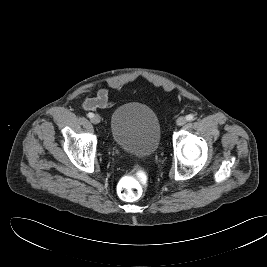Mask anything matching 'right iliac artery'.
Here are the masks:
<instances>
[{
  "label": "right iliac artery",
  "mask_w": 267,
  "mask_h": 267,
  "mask_svg": "<svg viewBox=\"0 0 267 267\" xmlns=\"http://www.w3.org/2000/svg\"><path fill=\"white\" fill-rule=\"evenodd\" d=\"M93 116H94V114L91 112L87 114V117H89V118H92Z\"/></svg>",
  "instance_id": "82829eb1"
}]
</instances>
